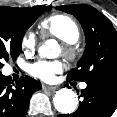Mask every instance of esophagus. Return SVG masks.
<instances>
[{
    "label": "esophagus",
    "mask_w": 117,
    "mask_h": 117,
    "mask_svg": "<svg viewBox=\"0 0 117 117\" xmlns=\"http://www.w3.org/2000/svg\"><path fill=\"white\" fill-rule=\"evenodd\" d=\"M43 90H49V91H55L57 89V86H49V85H42Z\"/></svg>",
    "instance_id": "esophagus-1"
}]
</instances>
